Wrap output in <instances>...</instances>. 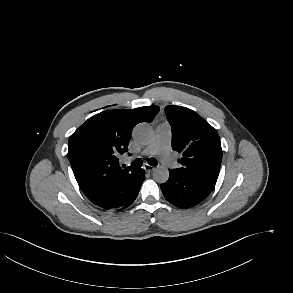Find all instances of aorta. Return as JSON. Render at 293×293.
<instances>
[{
  "label": "aorta",
  "instance_id": "obj_1",
  "mask_svg": "<svg viewBox=\"0 0 293 293\" xmlns=\"http://www.w3.org/2000/svg\"><path fill=\"white\" fill-rule=\"evenodd\" d=\"M153 136V130L147 123L138 124L133 130V137L139 143H147ZM153 178L158 183H165L169 178V171L166 167L159 166L153 172Z\"/></svg>",
  "mask_w": 293,
  "mask_h": 293
}]
</instances>
